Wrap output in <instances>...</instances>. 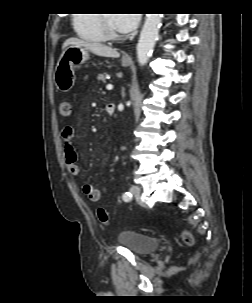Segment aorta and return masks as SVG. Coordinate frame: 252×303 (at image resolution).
Listing matches in <instances>:
<instances>
[{
    "instance_id": "aorta-1",
    "label": "aorta",
    "mask_w": 252,
    "mask_h": 303,
    "mask_svg": "<svg viewBox=\"0 0 252 303\" xmlns=\"http://www.w3.org/2000/svg\"><path fill=\"white\" fill-rule=\"evenodd\" d=\"M161 21L162 14H146L145 23L142 27L136 47L137 60L141 66L148 62L149 57L152 54L158 37Z\"/></svg>"
}]
</instances>
